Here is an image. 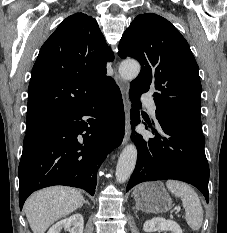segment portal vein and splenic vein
<instances>
[{
	"instance_id": "18ae733b",
	"label": "portal vein and splenic vein",
	"mask_w": 227,
	"mask_h": 233,
	"mask_svg": "<svg viewBox=\"0 0 227 233\" xmlns=\"http://www.w3.org/2000/svg\"><path fill=\"white\" fill-rule=\"evenodd\" d=\"M180 211V207H177V212Z\"/></svg>"
}]
</instances>
